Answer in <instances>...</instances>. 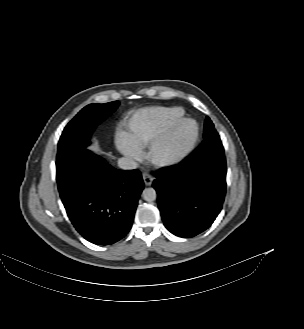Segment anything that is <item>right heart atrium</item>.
Masks as SVG:
<instances>
[{
    "label": "right heart atrium",
    "instance_id": "right-heart-atrium-1",
    "mask_svg": "<svg viewBox=\"0 0 304 329\" xmlns=\"http://www.w3.org/2000/svg\"><path fill=\"white\" fill-rule=\"evenodd\" d=\"M116 143L118 149L125 155L131 157L134 160L142 159V150L135 143L131 135L123 130H119L116 134Z\"/></svg>",
    "mask_w": 304,
    "mask_h": 329
}]
</instances>
